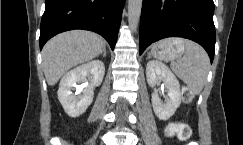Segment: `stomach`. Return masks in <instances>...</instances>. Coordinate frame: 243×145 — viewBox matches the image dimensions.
Segmentation results:
<instances>
[{"label": "stomach", "instance_id": "obj_1", "mask_svg": "<svg viewBox=\"0 0 243 145\" xmlns=\"http://www.w3.org/2000/svg\"><path fill=\"white\" fill-rule=\"evenodd\" d=\"M174 39H167L156 43L151 50L153 57L163 61H173L184 53L183 44H175Z\"/></svg>", "mask_w": 243, "mask_h": 145}]
</instances>
